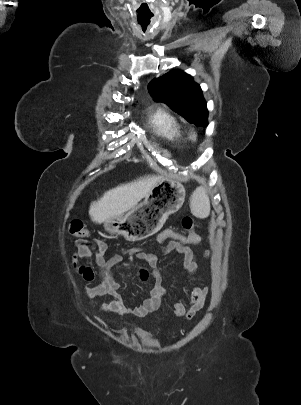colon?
Wrapping results in <instances>:
<instances>
[{"instance_id":"obj_1","label":"colon","mask_w":301,"mask_h":405,"mask_svg":"<svg viewBox=\"0 0 301 405\" xmlns=\"http://www.w3.org/2000/svg\"><path fill=\"white\" fill-rule=\"evenodd\" d=\"M182 226L187 231L186 234L178 233L173 229H168L170 235H181L176 240L180 242L182 247H198L199 243L202 242V237L196 232V223L190 217H184L182 220ZM173 228V227H172ZM69 232L71 235L83 238L87 235V230L82 221L72 220L69 224ZM88 245L91 247V244L88 242Z\"/></svg>"}]
</instances>
